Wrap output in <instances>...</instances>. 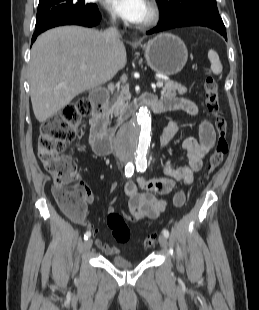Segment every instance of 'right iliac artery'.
<instances>
[{"label": "right iliac artery", "mask_w": 259, "mask_h": 310, "mask_svg": "<svg viewBox=\"0 0 259 310\" xmlns=\"http://www.w3.org/2000/svg\"><path fill=\"white\" fill-rule=\"evenodd\" d=\"M133 173H134V165H133V163H128L125 166V176L126 177H131L133 175ZM90 236H91V232L87 231L84 234V240H87Z\"/></svg>", "instance_id": "right-iliac-artery-1"}]
</instances>
